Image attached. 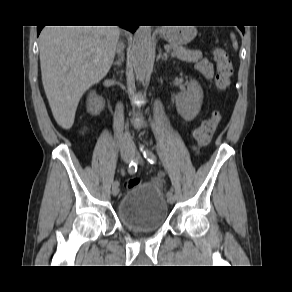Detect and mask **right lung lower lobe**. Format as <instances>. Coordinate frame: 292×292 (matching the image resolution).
Listing matches in <instances>:
<instances>
[{
    "mask_svg": "<svg viewBox=\"0 0 292 292\" xmlns=\"http://www.w3.org/2000/svg\"><path fill=\"white\" fill-rule=\"evenodd\" d=\"M121 27H123L131 32H135V30L137 29L138 26L126 24V25H121ZM42 28H43V26H37V35H39Z\"/></svg>",
    "mask_w": 292,
    "mask_h": 292,
    "instance_id": "right-lung-lower-lobe-1",
    "label": "right lung lower lobe"
}]
</instances>
